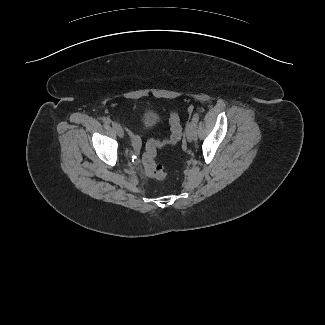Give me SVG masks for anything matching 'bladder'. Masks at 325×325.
I'll list each match as a JSON object with an SVG mask.
<instances>
[{
    "label": "bladder",
    "mask_w": 325,
    "mask_h": 325,
    "mask_svg": "<svg viewBox=\"0 0 325 325\" xmlns=\"http://www.w3.org/2000/svg\"><path fill=\"white\" fill-rule=\"evenodd\" d=\"M159 120V114L157 112H148L143 117V124L146 127L154 126Z\"/></svg>",
    "instance_id": "bladder-1"
}]
</instances>
